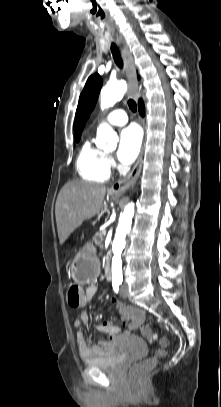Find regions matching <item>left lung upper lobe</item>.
I'll list each match as a JSON object with an SVG mask.
<instances>
[{
  "label": "left lung upper lobe",
  "mask_w": 221,
  "mask_h": 407,
  "mask_svg": "<svg viewBox=\"0 0 221 407\" xmlns=\"http://www.w3.org/2000/svg\"><path fill=\"white\" fill-rule=\"evenodd\" d=\"M102 87V78L99 74L91 75L80 95L74 122V138L80 140L82 130L95 107L96 101Z\"/></svg>",
  "instance_id": "obj_1"
}]
</instances>
